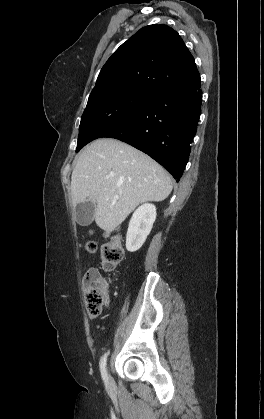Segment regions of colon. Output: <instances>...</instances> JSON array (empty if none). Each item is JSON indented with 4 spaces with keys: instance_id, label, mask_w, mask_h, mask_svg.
<instances>
[{
    "instance_id": "obj_1",
    "label": "colon",
    "mask_w": 264,
    "mask_h": 419,
    "mask_svg": "<svg viewBox=\"0 0 264 419\" xmlns=\"http://www.w3.org/2000/svg\"><path fill=\"white\" fill-rule=\"evenodd\" d=\"M88 252L96 251V244L88 242L85 245ZM102 268L105 271L113 270L124 259V249L118 236L111 237L110 241L101 249ZM83 289L86 299V308L90 318L98 317L103 305L106 303L109 283L97 270L86 273L83 280Z\"/></svg>"
}]
</instances>
